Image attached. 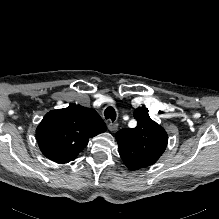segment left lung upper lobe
<instances>
[{"label":"left lung upper lobe","mask_w":219,"mask_h":219,"mask_svg":"<svg viewBox=\"0 0 219 219\" xmlns=\"http://www.w3.org/2000/svg\"><path fill=\"white\" fill-rule=\"evenodd\" d=\"M147 111L143 107L137 108L134 117L138 125L133 129H121L116 134L119 154L133 171L156 163L168 143L166 131L150 118Z\"/></svg>","instance_id":"1"}]
</instances>
